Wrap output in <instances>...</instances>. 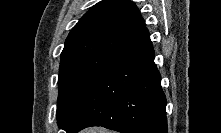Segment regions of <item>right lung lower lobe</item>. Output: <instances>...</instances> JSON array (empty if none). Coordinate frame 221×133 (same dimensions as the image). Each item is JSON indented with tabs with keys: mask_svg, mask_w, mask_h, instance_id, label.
I'll return each instance as SVG.
<instances>
[{
	"mask_svg": "<svg viewBox=\"0 0 221 133\" xmlns=\"http://www.w3.org/2000/svg\"><path fill=\"white\" fill-rule=\"evenodd\" d=\"M90 126L122 133H167L166 97L153 48L105 70L66 132Z\"/></svg>",
	"mask_w": 221,
	"mask_h": 133,
	"instance_id": "98d812e1",
	"label": "right lung lower lobe"
}]
</instances>
